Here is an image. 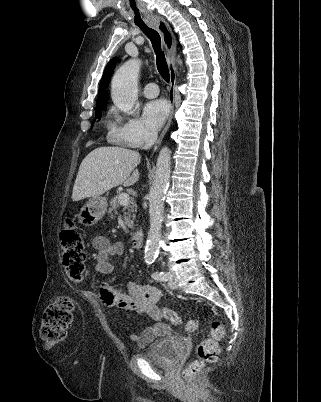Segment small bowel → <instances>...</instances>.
<instances>
[{"label":"small bowel","instance_id":"1","mask_svg":"<svg viewBox=\"0 0 321 402\" xmlns=\"http://www.w3.org/2000/svg\"><path fill=\"white\" fill-rule=\"evenodd\" d=\"M93 247L96 250V271L101 274L111 273L116 265L113 258L123 254V245L97 236L93 239ZM99 296L101 302L108 308L133 310L155 321L143 332L129 335L130 340L140 347H145L157 338L165 336L169 331V323L176 321L173 318L176 314L159 304L162 292L154 285L129 283L123 288L104 284L99 288Z\"/></svg>","mask_w":321,"mask_h":402}]
</instances>
